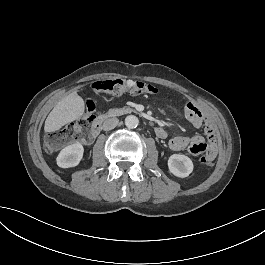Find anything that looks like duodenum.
Wrapping results in <instances>:
<instances>
[{"mask_svg":"<svg viewBox=\"0 0 265 265\" xmlns=\"http://www.w3.org/2000/svg\"><path fill=\"white\" fill-rule=\"evenodd\" d=\"M92 128L95 129V130H97V131L99 132V134H100L101 129H102V121H101L100 119H98V120L94 123V125H93ZM155 135H156L158 138L163 139V138L166 137V131H165L164 129H162V128H156V129H155Z\"/></svg>","mask_w":265,"mask_h":265,"instance_id":"410a0bca","label":"duodenum"}]
</instances>
